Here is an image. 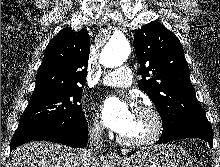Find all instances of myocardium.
I'll list each match as a JSON object with an SVG mask.
<instances>
[{
    "instance_id": "myocardium-1",
    "label": "myocardium",
    "mask_w": 220,
    "mask_h": 167,
    "mask_svg": "<svg viewBox=\"0 0 220 167\" xmlns=\"http://www.w3.org/2000/svg\"><path fill=\"white\" fill-rule=\"evenodd\" d=\"M140 113H147L152 117L153 128L148 135L140 139H128L122 135L118 136V142L129 147H141L156 142L163 133L164 120L157 108L152 105H140L136 108Z\"/></svg>"
}]
</instances>
